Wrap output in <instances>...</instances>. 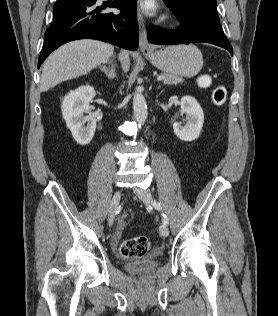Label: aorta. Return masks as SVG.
Returning a JSON list of instances; mask_svg holds the SVG:
<instances>
[{
    "instance_id": "obj_1",
    "label": "aorta",
    "mask_w": 278,
    "mask_h": 316,
    "mask_svg": "<svg viewBox=\"0 0 278 316\" xmlns=\"http://www.w3.org/2000/svg\"><path fill=\"white\" fill-rule=\"evenodd\" d=\"M133 113L137 121L144 122L147 119L148 111L145 97L139 91L134 93Z\"/></svg>"
}]
</instances>
